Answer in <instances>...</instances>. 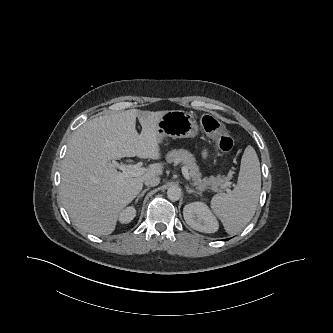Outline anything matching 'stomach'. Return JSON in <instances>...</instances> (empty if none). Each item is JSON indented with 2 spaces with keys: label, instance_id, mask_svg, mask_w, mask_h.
I'll return each instance as SVG.
<instances>
[{
  "label": "stomach",
  "instance_id": "obj_1",
  "mask_svg": "<svg viewBox=\"0 0 333 333\" xmlns=\"http://www.w3.org/2000/svg\"><path fill=\"white\" fill-rule=\"evenodd\" d=\"M159 140L164 137L194 138L199 128L194 116L183 110H171L162 115L157 123Z\"/></svg>",
  "mask_w": 333,
  "mask_h": 333
}]
</instances>
